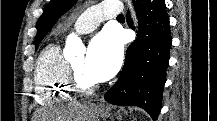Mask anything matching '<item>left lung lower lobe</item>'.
Returning <instances> with one entry per match:
<instances>
[{
  "label": "left lung lower lobe",
  "mask_w": 217,
  "mask_h": 121,
  "mask_svg": "<svg viewBox=\"0 0 217 121\" xmlns=\"http://www.w3.org/2000/svg\"><path fill=\"white\" fill-rule=\"evenodd\" d=\"M133 4L139 19L138 43L128 47L120 77L104 98L114 105L141 107L156 120L172 45L169 17L164 0H133ZM127 22L133 28L129 14Z\"/></svg>",
  "instance_id": "obj_1"
}]
</instances>
